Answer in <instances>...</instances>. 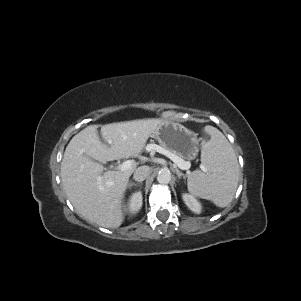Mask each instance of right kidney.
<instances>
[{
  "label": "right kidney",
  "instance_id": "right-kidney-1",
  "mask_svg": "<svg viewBox=\"0 0 301 301\" xmlns=\"http://www.w3.org/2000/svg\"><path fill=\"white\" fill-rule=\"evenodd\" d=\"M142 207V193L135 192L128 201V209L131 213L138 212Z\"/></svg>",
  "mask_w": 301,
  "mask_h": 301
}]
</instances>
